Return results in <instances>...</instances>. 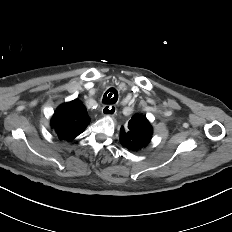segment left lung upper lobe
Returning a JSON list of instances; mask_svg holds the SVG:
<instances>
[{
    "instance_id": "1",
    "label": "left lung upper lobe",
    "mask_w": 232,
    "mask_h": 232,
    "mask_svg": "<svg viewBox=\"0 0 232 232\" xmlns=\"http://www.w3.org/2000/svg\"><path fill=\"white\" fill-rule=\"evenodd\" d=\"M153 129L146 116L134 115L128 123V129L121 128L120 142L130 151H138L148 145Z\"/></svg>"
}]
</instances>
